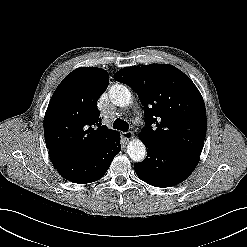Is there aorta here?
Masks as SVG:
<instances>
[{
	"label": "aorta",
	"instance_id": "obj_1",
	"mask_svg": "<svg viewBox=\"0 0 247 247\" xmlns=\"http://www.w3.org/2000/svg\"><path fill=\"white\" fill-rule=\"evenodd\" d=\"M109 98L116 106L126 107L131 101V94L126 86L116 84L109 89ZM127 153L134 162H141L146 157L145 145L140 139L135 138L129 142Z\"/></svg>",
	"mask_w": 247,
	"mask_h": 247
}]
</instances>
